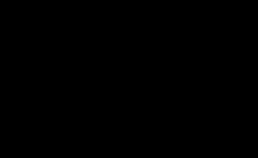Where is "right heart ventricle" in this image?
Listing matches in <instances>:
<instances>
[{
  "mask_svg": "<svg viewBox=\"0 0 258 158\" xmlns=\"http://www.w3.org/2000/svg\"><path fill=\"white\" fill-rule=\"evenodd\" d=\"M157 43L155 39H141L129 42L123 46V50L130 62L136 61L146 50Z\"/></svg>",
  "mask_w": 258,
  "mask_h": 158,
  "instance_id": "obj_1",
  "label": "right heart ventricle"
}]
</instances>
